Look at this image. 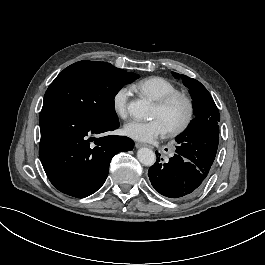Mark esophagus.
Segmentation results:
<instances>
[{
	"label": "esophagus",
	"instance_id": "obj_1",
	"mask_svg": "<svg viewBox=\"0 0 265 265\" xmlns=\"http://www.w3.org/2000/svg\"><path fill=\"white\" fill-rule=\"evenodd\" d=\"M136 148H141V147H148L150 149H153L154 147L152 145L146 144V143H142V142H137L135 144Z\"/></svg>",
	"mask_w": 265,
	"mask_h": 265
}]
</instances>
